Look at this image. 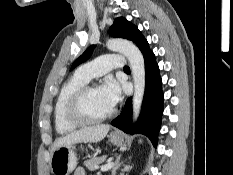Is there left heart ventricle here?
<instances>
[{"label":"left heart ventricle","instance_id":"left-heart-ventricle-1","mask_svg":"<svg viewBox=\"0 0 233 175\" xmlns=\"http://www.w3.org/2000/svg\"><path fill=\"white\" fill-rule=\"evenodd\" d=\"M85 109L91 116L98 117L108 113L112 107L102 96L100 88L93 87L87 95Z\"/></svg>","mask_w":233,"mask_h":175}]
</instances>
